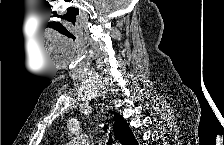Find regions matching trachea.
I'll use <instances>...</instances> for the list:
<instances>
[{
    "instance_id": "1",
    "label": "trachea",
    "mask_w": 224,
    "mask_h": 145,
    "mask_svg": "<svg viewBox=\"0 0 224 145\" xmlns=\"http://www.w3.org/2000/svg\"><path fill=\"white\" fill-rule=\"evenodd\" d=\"M104 130L105 131L107 130V126L106 125H104ZM112 143H113V139H112L111 133H109V138H108L107 145H112Z\"/></svg>"
}]
</instances>
